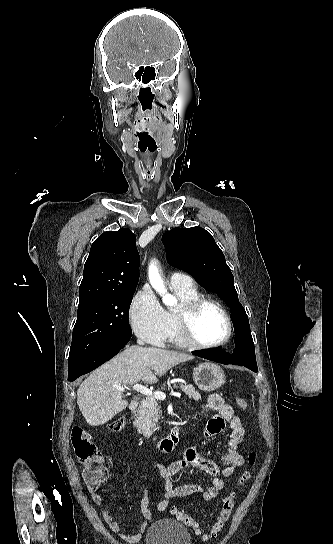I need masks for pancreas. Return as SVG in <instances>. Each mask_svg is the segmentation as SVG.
I'll list each match as a JSON object with an SVG mask.
<instances>
[{
    "label": "pancreas",
    "instance_id": "cf45deb5",
    "mask_svg": "<svg viewBox=\"0 0 333 544\" xmlns=\"http://www.w3.org/2000/svg\"><path fill=\"white\" fill-rule=\"evenodd\" d=\"M174 388L177 385L174 384ZM182 391L195 401L201 400V395L192 385H180ZM164 389V388H163ZM159 417V406L154 396H147L142 400L135 418L134 425L138 432L144 436H151L156 431V423Z\"/></svg>",
    "mask_w": 333,
    "mask_h": 544
}]
</instances>
